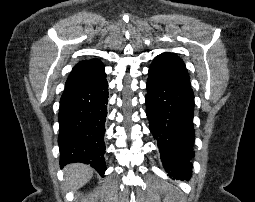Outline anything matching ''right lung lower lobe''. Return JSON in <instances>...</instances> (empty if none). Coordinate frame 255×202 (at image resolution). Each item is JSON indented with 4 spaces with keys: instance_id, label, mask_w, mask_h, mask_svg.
<instances>
[{
    "instance_id": "obj_1",
    "label": "right lung lower lobe",
    "mask_w": 255,
    "mask_h": 202,
    "mask_svg": "<svg viewBox=\"0 0 255 202\" xmlns=\"http://www.w3.org/2000/svg\"><path fill=\"white\" fill-rule=\"evenodd\" d=\"M108 84L106 78L85 86L68 88L62 94L59 110L60 165L90 164L101 175L105 166V119Z\"/></svg>"
}]
</instances>
